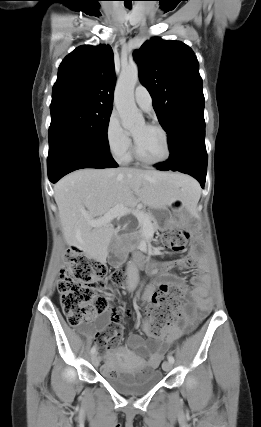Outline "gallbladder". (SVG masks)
Here are the masks:
<instances>
[{"label": "gallbladder", "instance_id": "1", "mask_svg": "<svg viewBox=\"0 0 261 427\" xmlns=\"http://www.w3.org/2000/svg\"><path fill=\"white\" fill-rule=\"evenodd\" d=\"M109 261L110 263H112L113 265L118 264L119 262L122 261V257L120 255V253L115 254L114 252H112L109 256Z\"/></svg>", "mask_w": 261, "mask_h": 427}]
</instances>
